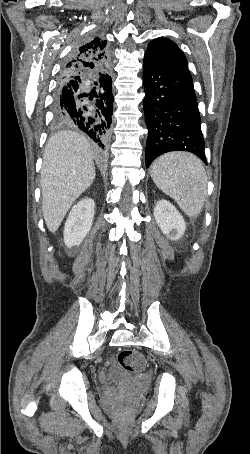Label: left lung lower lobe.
<instances>
[{
    "instance_id": "obj_1",
    "label": "left lung lower lobe",
    "mask_w": 250,
    "mask_h": 454,
    "mask_svg": "<svg viewBox=\"0 0 250 454\" xmlns=\"http://www.w3.org/2000/svg\"><path fill=\"white\" fill-rule=\"evenodd\" d=\"M143 102L148 138L146 167L170 151H189L206 165L200 114L187 67L144 56Z\"/></svg>"
}]
</instances>
